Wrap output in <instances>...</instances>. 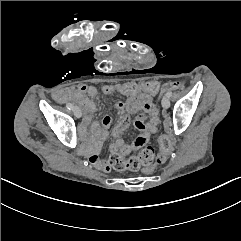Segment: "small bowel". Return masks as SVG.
<instances>
[{
    "mask_svg": "<svg viewBox=\"0 0 241 241\" xmlns=\"http://www.w3.org/2000/svg\"><path fill=\"white\" fill-rule=\"evenodd\" d=\"M101 92L105 96H110L113 93V88L110 84H106L101 88ZM96 97L98 90L92 85L79 84L72 88L60 90L56 93V98L60 101L66 102L74 100L78 102L85 111V122L90 121V113L95 109L94 104L85 99L83 96ZM153 94H135V97L126 102L118 101L115 103V108L119 111L126 109L130 113L142 111L133 121L134 127L140 134L130 143H126L121 136L128 129L131 124V119L128 114L121 117L120 121L113 127L112 136L116 139L109 147L111 154H118L122 156L129 155L130 153L140 149L146 145L152 136L157 133L159 125V111L153 103ZM111 125V118L105 116L101 125L94 123L91 126V132L94 136L92 148L87 153L88 161L98 169L108 171L110 169L109 163L105 160L98 158V153L101 151V143L108 136V128Z\"/></svg>",
    "mask_w": 241,
    "mask_h": 241,
    "instance_id": "obj_1",
    "label": "small bowel"
}]
</instances>
